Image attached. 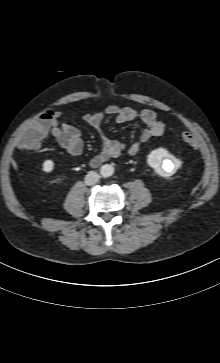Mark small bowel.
I'll return each instance as SVG.
<instances>
[{
  "label": "small bowel",
  "mask_w": 220,
  "mask_h": 363,
  "mask_svg": "<svg viewBox=\"0 0 220 363\" xmlns=\"http://www.w3.org/2000/svg\"><path fill=\"white\" fill-rule=\"evenodd\" d=\"M107 116H115L119 123L139 119L146 125V128L137 141L126 146L119 141L111 139L104 131L102 123ZM58 117L59 112H56L55 119L49 129L51 135L56 143L71 156H80L84 149L81 131L76 126L67 122L59 123L57 120ZM83 118L86 123L97 130L102 143L101 153L90 161L92 166H99L107 160L118 158L125 151L130 155H136L145 143L154 137L162 135L165 130L164 122L159 120L156 113L150 109L137 110L128 106L111 105L102 111L87 113ZM39 145H28L25 140V134L21 137L18 144L19 148L24 151L36 150Z\"/></svg>",
  "instance_id": "c3829d8e"
}]
</instances>
